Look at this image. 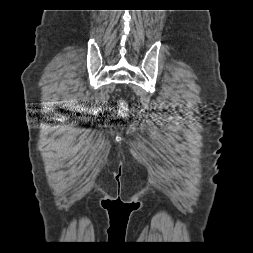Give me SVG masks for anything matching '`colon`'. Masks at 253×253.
Segmentation results:
<instances>
[{
	"instance_id": "obj_1",
	"label": "colon",
	"mask_w": 253,
	"mask_h": 253,
	"mask_svg": "<svg viewBox=\"0 0 253 253\" xmlns=\"http://www.w3.org/2000/svg\"><path fill=\"white\" fill-rule=\"evenodd\" d=\"M118 105H119L120 115L125 116L128 113V108H127L126 103L124 101H119Z\"/></svg>"
}]
</instances>
